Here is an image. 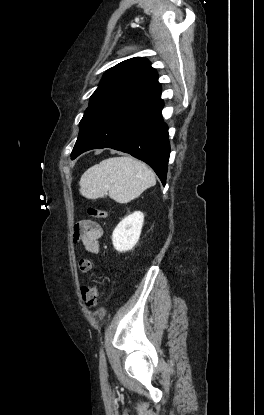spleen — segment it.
<instances>
[{
  "label": "spleen",
  "instance_id": "spleen-1",
  "mask_svg": "<svg viewBox=\"0 0 264 415\" xmlns=\"http://www.w3.org/2000/svg\"><path fill=\"white\" fill-rule=\"evenodd\" d=\"M80 194L88 199L109 196L118 203L134 200L156 184L154 172L144 163L129 157H112L84 172Z\"/></svg>",
  "mask_w": 264,
  "mask_h": 415
}]
</instances>
